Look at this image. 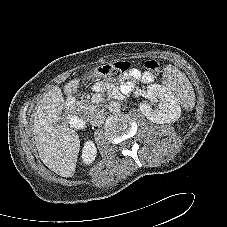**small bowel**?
I'll return each instance as SVG.
<instances>
[{
    "label": "small bowel",
    "mask_w": 227,
    "mask_h": 227,
    "mask_svg": "<svg viewBox=\"0 0 227 227\" xmlns=\"http://www.w3.org/2000/svg\"><path fill=\"white\" fill-rule=\"evenodd\" d=\"M131 75L134 77V78H136V79H143V80H150V79H147V78H145L144 76H141V73L138 71V70H133L132 72H131ZM104 88V85L102 84V83H98L97 85H96V89H98V90H102Z\"/></svg>",
    "instance_id": "small-bowel-1"
}]
</instances>
